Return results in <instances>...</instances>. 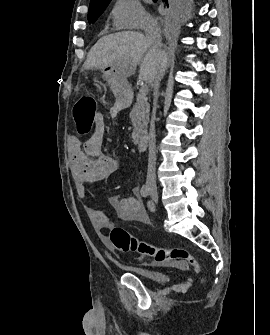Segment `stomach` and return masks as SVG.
<instances>
[{
	"label": "stomach",
	"instance_id": "stomach-1",
	"mask_svg": "<svg viewBox=\"0 0 270 335\" xmlns=\"http://www.w3.org/2000/svg\"><path fill=\"white\" fill-rule=\"evenodd\" d=\"M102 72L111 86V90L115 96L116 102H119V104L125 108L129 102L130 92V88L127 82H121V80H118V78H114V72H116V70H114L112 66L103 68Z\"/></svg>",
	"mask_w": 270,
	"mask_h": 335
}]
</instances>
